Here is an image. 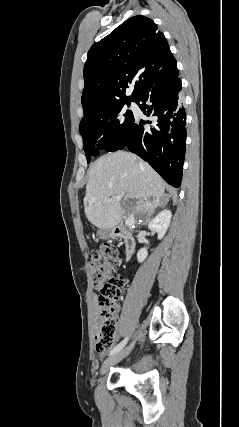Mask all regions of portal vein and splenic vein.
<instances>
[{
  "label": "portal vein and splenic vein",
  "instance_id": "portal-vein-and-splenic-vein-1",
  "mask_svg": "<svg viewBox=\"0 0 239 427\" xmlns=\"http://www.w3.org/2000/svg\"><path fill=\"white\" fill-rule=\"evenodd\" d=\"M115 200H120L121 199V197L120 196H117V197H115L114 198ZM134 222H133V219H127L126 221H125V224L126 225H130V224H133Z\"/></svg>",
  "mask_w": 239,
  "mask_h": 427
}]
</instances>
